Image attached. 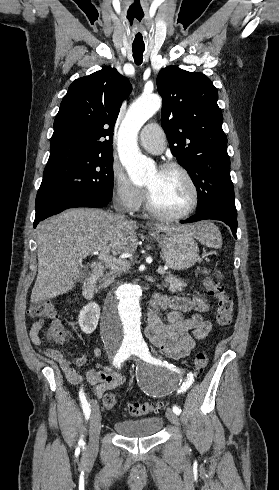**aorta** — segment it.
<instances>
[{
  "instance_id": "aorta-1",
  "label": "aorta",
  "mask_w": 279,
  "mask_h": 490,
  "mask_svg": "<svg viewBox=\"0 0 279 490\" xmlns=\"http://www.w3.org/2000/svg\"><path fill=\"white\" fill-rule=\"evenodd\" d=\"M162 105L160 96L152 94L135 101L118 131V153L130 179L144 183L154 172V163L143 156L137 145V135L144 123ZM142 288L136 284H122L112 292L105 303L101 334L107 347L114 353L130 351L144 342L142 335Z\"/></svg>"
}]
</instances>
